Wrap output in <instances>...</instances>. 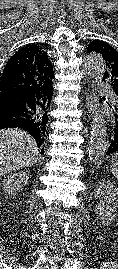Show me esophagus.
I'll return each instance as SVG.
<instances>
[{"label":"esophagus","instance_id":"obj_1","mask_svg":"<svg viewBox=\"0 0 118 269\" xmlns=\"http://www.w3.org/2000/svg\"><path fill=\"white\" fill-rule=\"evenodd\" d=\"M92 104H93V99H92V95L90 94L86 98V107H87V110H88L90 120L93 118Z\"/></svg>","mask_w":118,"mask_h":269}]
</instances>
